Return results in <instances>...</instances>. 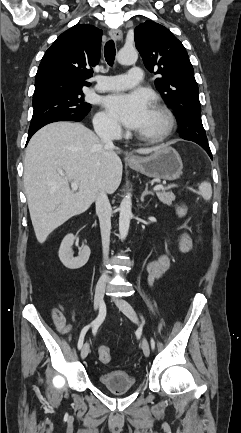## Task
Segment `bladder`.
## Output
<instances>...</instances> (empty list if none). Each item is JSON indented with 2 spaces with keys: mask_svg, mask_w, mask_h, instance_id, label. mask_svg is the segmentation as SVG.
<instances>
[{
  "mask_svg": "<svg viewBox=\"0 0 241 433\" xmlns=\"http://www.w3.org/2000/svg\"><path fill=\"white\" fill-rule=\"evenodd\" d=\"M100 384L112 393L132 390L136 387V379L126 371H109L99 375Z\"/></svg>",
  "mask_w": 241,
  "mask_h": 433,
  "instance_id": "1",
  "label": "bladder"
}]
</instances>
